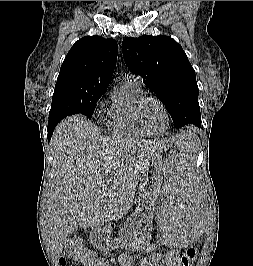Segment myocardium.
<instances>
[{"label":"myocardium","mask_w":253,"mask_h":266,"mask_svg":"<svg viewBox=\"0 0 253 266\" xmlns=\"http://www.w3.org/2000/svg\"><path fill=\"white\" fill-rule=\"evenodd\" d=\"M150 100L151 101H155L162 108V110H163V112L165 114L166 127H165L164 131L161 132V133H154V132L149 131L142 123V120H141L142 107H143L145 102L150 101ZM133 117H134V121H135L137 127L146 136L162 137V136L166 135V133L170 129L171 121H170V116H169V112L167 110V107L165 106V104L158 97H156L154 95H143L136 101V103L134 105V108H133Z\"/></svg>","instance_id":"1"}]
</instances>
